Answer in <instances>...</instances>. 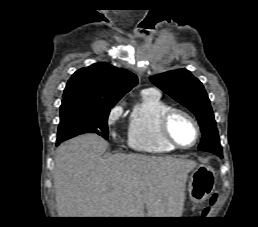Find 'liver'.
Listing matches in <instances>:
<instances>
[{
	"label": "liver",
	"mask_w": 258,
	"mask_h": 227,
	"mask_svg": "<svg viewBox=\"0 0 258 227\" xmlns=\"http://www.w3.org/2000/svg\"><path fill=\"white\" fill-rule=\"evenodd\" d=\"M107 147L95 134L59 146L54 160L59 217L182 215L188 173L196 162L122 153L103 158Z\"/></svg>",
	"instance_id": "obj_1"
}]
</instances>
